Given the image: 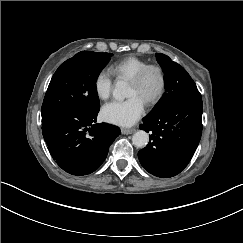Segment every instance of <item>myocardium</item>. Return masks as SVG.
Segmentation results:
<instances>
[{
  "mask_svg": "<svg viewBox=\"0 0 243 243\" xmlns=\"http://www.w3.org/2000/svg\"><path fill=\"white\" fill-rule=\"evenodd\" d=\"M152 69H155L159 72L161 79H162V85H161V89H160L158 95L155 98H153L147 102V105H149V106H154V105L160 103L167 93L168 76H167V72L164 69V67L157 63H147L134 76H132L129 79V82H131L133 84H139L142 82L145 75Z\"/></svg>",
  "mask_w": 243,
  "mask_h": 243,
  "instance_id": "f54148a6",
  "label": "myocardium"
}]
</instances>
